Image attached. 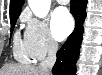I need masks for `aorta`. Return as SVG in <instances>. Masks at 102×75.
<instances>
[{
    "label": "aorta",
    "mask_w": 102,
    "mask_h": 75,
    "mask_svg": "<svg viewBox=\"0 0 102 75\" xmlns=\"http://www.w3.org/2000/svg\"><path fill=\"white\" fill-rule=\"evenodd\" d=\"M28 4L35 16L44 18L50 10L51 0H28Z\"/></svg>",
    "instance_id": "obj_1"
}]
</instances>
